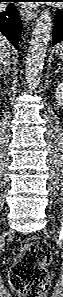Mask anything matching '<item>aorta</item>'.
<instances>
[{
	"instance_id": "762f6f07",
	"label": "aorta",
	"mask_w": 63,
	"mask_h": 297,
	"mask_svg": "<svg viewBox=\"0 0 63 297\" xmlns=\"http://www.w3.org/2000/svg\"><path fill=\"white\" fill-rule=\"evenodd\" d=\"M52 30L50 11L44 9L36 21L27 54L26 79L31 89H34L40 81Z\"/></svg>"
}]
</instances>
